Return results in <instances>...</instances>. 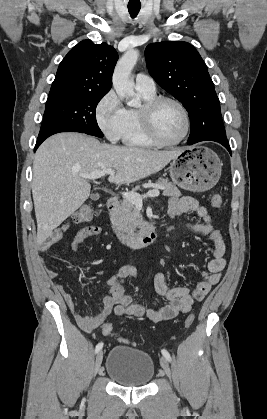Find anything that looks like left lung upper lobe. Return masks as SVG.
Listing matches in <instances>:
<instances>
[{"mask_svg":"<svg viewBox=\"0 0 267 419\" xmlns=\"http://www.w3.org/2000/svg\"><path fill=\"white\" fill-rule=\"evenodd\" d=\"M145 59L153 79L188 111L191 131L206 124L215 138L226 137L214 84L194 46L184 41L152 43Z\"/></svg>","mask_w":267,"mask_h":419,"instance_id":"5c2ea615","label":"left lung upper lobe"}]
</instances>
